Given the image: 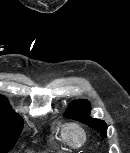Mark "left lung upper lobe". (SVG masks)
Returning a JSON list of instances; mask_svg holds the SVG:
<instances>
[{
    "label": "left lung upper lobe",
    "instance_id": "left-lung-upper-lobe-1",
    "mask_svg": "<svg viewBox=\"0 0 130 153\" xmlns=\"http://www.w3.org/2000/svg\"><path fill=\"white\" fill-rule=\"evenodd\" d=\"M90 109L88 101L77 100L70 104L64 116L87 124L91 128L99 131L101 135L105 137L107 131L106 123L102 120L91 118Z\"/></svg>",
    "mask_w": 130,
    "mask_h": 153
}]
</instances>
